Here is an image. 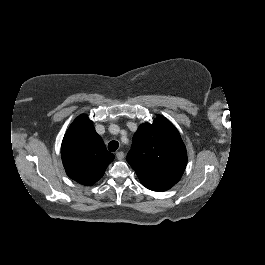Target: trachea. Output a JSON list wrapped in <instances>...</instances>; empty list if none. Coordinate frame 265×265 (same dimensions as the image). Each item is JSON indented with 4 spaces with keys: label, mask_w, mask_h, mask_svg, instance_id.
<instances>
[{
    "label": "trachea",
    "mask_w": 265,
    "mask_h": 265,
    "mask_svg": "<svg viewBox=\"0 0 265 265\" xmlns=\"http://www.w3.org/2000/svg\"><path fill=\"white\" fill-rule=\"evenodd\" d=\"M119 147V143L118 141H111L109 144H108V149L111 151V152H115Z\"/></svg>",
    "instance_id": "obj_1"
}]
</instances>
